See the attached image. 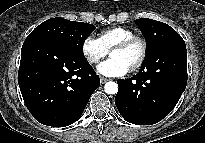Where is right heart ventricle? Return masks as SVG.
<instances>
[{
  "instance_id": "right-heart-ventricle-1",
  "label": "right heart ventricle",
  "mask_w": 205,
  "mask_h": 143,
  "mask_svg": "<svg viewBox=\"0 0 205 143\" xmlns=\"http://www.w3.org/2000/svg\"><path fill=\"white\" fill-rule=\"evenodd\" d=\"M132 29L127 27H112L99 34V41L109 51L115 44L134 36Z\"/></svg>"
}]
</instances>
